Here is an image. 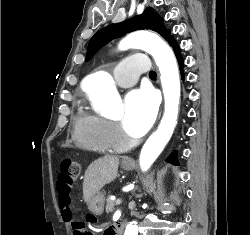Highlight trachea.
I'll use <instances>...</instances> for the list:
<instances>
[{"label":"trachea","mask_w":250,"mask_h":235,"mask_svg":"<svg viewBox=\"0 0 250 235\" xmlns=\"http://www.w3.org/2000/svg\"><path fill=\"white\" fill-rule=\"evenodd\" d=\"M149 76L150 77H156V72L155 71H150Z\"/></svg>","instance_id":"3493384b"}]
</instances>
